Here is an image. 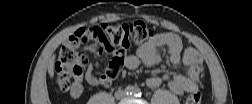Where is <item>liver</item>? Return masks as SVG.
I'll use <instances>...</instances> for the list:
<instances>
[{"label": "liver", "mask_w": 252, "mask_h": 104, "mask_svg": "<svg viewBox=\"0 0 252 104\" xmlns=\"http://www.w3.org/2000/svg\"><path fill=\"white\" fill-rule=\"evenodd\" d=\"M54 60H55V56H52L48 64V74L51 78L54 77Z\"/></svg>", "instance_id": "6515ba94"}]
</instances>
